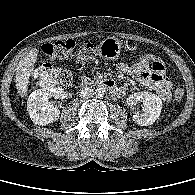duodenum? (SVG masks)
<instances>
[{
  "mask_svg": "<svg viewBox=\"0 0 195 195\" xmlns=\"http://www.w3.org/2000/svg\"><path fill=\"white\" fill-rule=\"evenodd\" d=\"M87 84H88L87 82H84L82 85L85 86ZM95 85L98 87L106 88V89L110 90L112 93L117 90V86L111 80H100V81L96 82Z\"/></svg>",
  "mask_w": 195,
  "mask_h": 195,
  "instance_id": "obj_1",
  "label": "duodenum"
}]
</instances>
